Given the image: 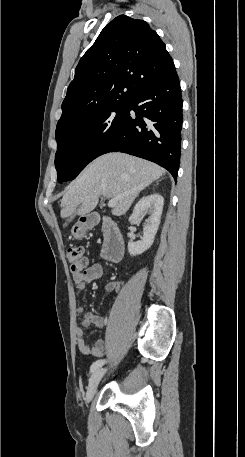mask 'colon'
Wrapping results in <instances>:
<instances>
[{
    "mask_svg": "<svg viewBox=\"0 0 245 457\" xmlns=\"http://www.w3.org/2000/svg\"><path fill=\"white\" fill-rule=\"evenodd\" d=\"M67 255L73 270L82 271L85 268L87 260L84 255V249L82 247H70L68 249Z\"/></svg>",
    "mask_w": 245,
    "mask_h": 457,
    "instance_id": "colon-1",
    "label": "colon"
}]
</instances>
